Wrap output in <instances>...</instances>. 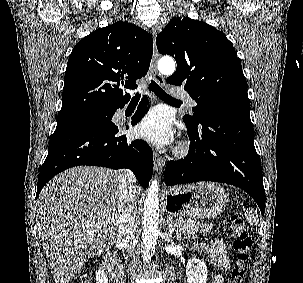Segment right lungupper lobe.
Segmentation results:
<instances>
[{"instance_id": "obj_1", "label": "right lung upper lobe", "mask_w": 303, "mask_h": 283, "mask_svg": "<svg viewBox=\"0 0 303 283\" xmlns=\"http://www.w3.org/2000/svg\"><path fill=\"white\" fill-rule=\"evenodd\" d=\"M152 53V37L127 21L84 37L68 60L58 116L123 107L130 95H124L120 85L137 88L136 80L146 75Z\"/></svg>"}]
</instances>
